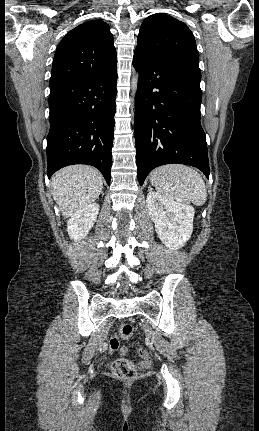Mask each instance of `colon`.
<instances>
[{
    "label": "colon",
    "mask_w": 259,
    "mask_h": 431,
    "mask_svg": "<svg viewBox=\"0 0 259 431\" xmlns=\"http://www.w3.org/2000/svg\"><path fill=\"white\" fill-rule=\"evenodd\" d=\"M134 328L131 324H122L117 331V334L110 340V351L114 352L119 348L120 339H128L133 335ZM127 348L122 347L120 354L123 356L127 353ZM138 354L141 358L146 359L149 357V353L144 348L138 349ZM112 372L115 377L123 380H130L136 377L138 369L136 365L130 360L120 357L116 359L112 364Z\"/></svg>",
    "instance_id": "5ec220e1"
}]
</instances>
